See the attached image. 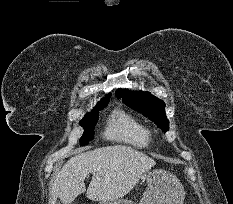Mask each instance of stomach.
<instances>
[{
    "label": "stomach",
    "instance_id": "0dacf381",
    "mask_svg": "<svg viewBox=\"0 0 233 204\" xmlns=\"http://www.w3.org/2000/svg\"><path fill=\"white\" fill-rule=\"evenodd\" d=\"M141 179L147 183V188L139 204H183L184 188L172 173L162 169L148 170L142 174ZM99 204L136 203L128 199H117L101 201Z\"/></svg>",
    "mask_w": 233,
    "mask_h": 204
}]
</instances>
